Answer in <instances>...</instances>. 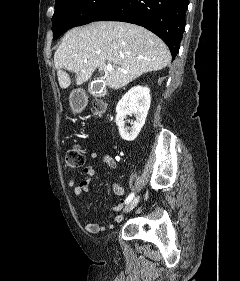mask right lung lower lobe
Masks as SVG:
<instances>
[{
    "instance_id": "1",
    "label": "right lung lower lobe",
    "mask_w": 240,
    "mask_h": 281,
    "mask_svg": "<svg viewBox=\"0 0 240 281\" xmlns=\"http://www.w3.org/2000/svg\"><path fill=\"white\" fill-rule=\"evenodd\" d=\"M188 3V0H117L95 21H123L143 26L167 44L174 59L185 27Z\"/></svg>"
}]
</instances>
